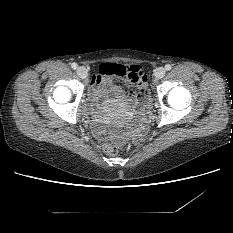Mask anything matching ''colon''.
Masks as SVG:
<instances>
[{
  "label": "colon",
  "instance_id": "1",
  "mask_svg": "<svg viewBox=\"0 0 233 233\" xmlns=\"http://www.w3.org/2000/svg\"><path fill=\"white\" fill-rule=\"evenodd\" d=\"M121 76H125V71L123 69L119 70ZM134 85L138 86L137 78L130 80ZM130 139L126 136L121 137L118 142H108L103 145V150L106 154L115 155L120 150L128 147L130 145Z\"/></svg>",
  "mask_w": 233,
  "mask_h": 233
}]
</instances>
